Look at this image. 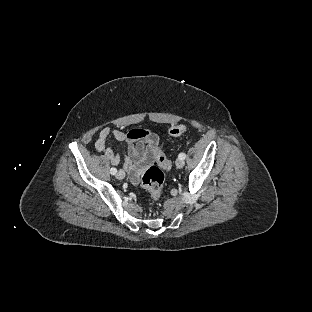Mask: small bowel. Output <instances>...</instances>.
<instances>
[{"instance_id":"small-bowel-1","label":"small bowel","mask_w":312,"mask_h":312,"mask_svg":"<svg viewBox=\"0 0 312 312\" xmlns=\"http://www.w3.org/2000/svg\"><path fill=\"white\" fill-rule=\"evenodd\" d=\"M112 136L127 145V154L123 160V168L128 173L133 184L140 182L141 174L150 167L162 154L159 136L146 129H132L128 132L104 127L100 130L95 142V149L103 153L106 159L114 165L121 162V157L107 145V139Z\"/></svg>"}]
</instances>
